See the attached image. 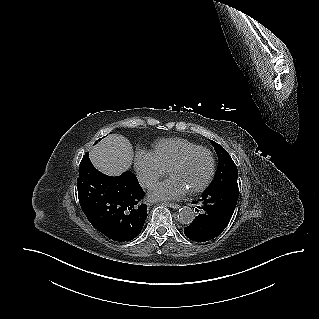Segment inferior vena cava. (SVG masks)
Here are the masks:
<instances>
[{"label": "inferior vena cava", "instance_id": "602c4592", "mask_svg": "<svg viewBox=\"0 0 319 319\" xmlns=\"http://www.w3.org/2000/svg\"><path fill=\"white\" fill-rule=\"evenodd\" d=\"M153 179L152 178H141L140 179V183L143 185V186H150L152 183H153Z\"/></svg>", "mask_w": 319, "mask_h": 319}]
</instances>
